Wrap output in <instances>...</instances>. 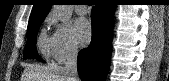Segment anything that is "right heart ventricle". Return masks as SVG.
Listing matches in <instances>:
<instances>
[{"label":"right heart ventricle","mask_w":169,"mask_h":81,"mask_svg":"<svg viewBox=\"0 0 169 81\" xmlns=\"http://www.w3.org/2000/svg\"><path fill=\"white\" fill-rule=\"evenodd\" d=\"M38 48L44 56L46 57L49 56L50 54L49 39H47V37L45 36L43 32L40 34L39 39H38Z\"/></svg>","instance_id":"obj_1"}]
</instances>
